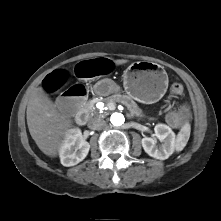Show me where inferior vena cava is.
I'll return each mask as SVG.
<instances>
[{"mask_svg": "<svg viewBox=\"0 0 221 221\" xmlns=\"http://www.w3.org/2000/svg\"><path fill=\"white\" fill-rule=\"evenodd\" d=\"M105 125H106L105 120L100 117L91 118L88 122V126L94 130H100Z\"/></svg>", "mask_w": 221, "mask_h": 221, "instance_id": "1", "label": "inferior vena cava"}]
</instances>
